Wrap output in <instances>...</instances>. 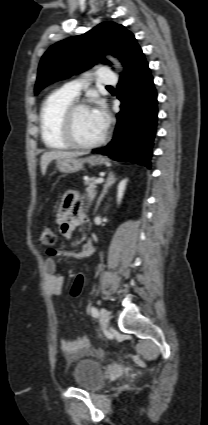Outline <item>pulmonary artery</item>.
<instances>
[{"mask_svg":"<svg viewBox=\"0 0 208 425\" xmlns=\"http://www.w3.org/2000/svg\"><path fill=\"white\" fill-rule=\"evenodd\" d=\"M95 77L98 78L100 83L105 85H115L118 81L116 74L108 68H100L95 74ZM86 85L87 83L84 80H74L66 83L61 91L69 97L76 99Z\"/></svg>","mask_w":208,"mask_h":425,"instance_id":"pulmonary-artery-1","label":"pulmonary artery"}]
</instances>
